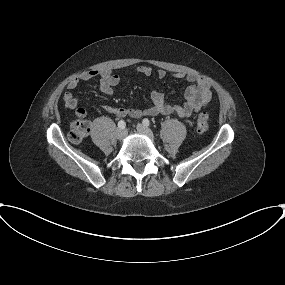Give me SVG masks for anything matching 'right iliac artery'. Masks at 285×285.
Wrapping results in <instances>:
<instances>
[{
    "instance_id": "right-iliac-artery-1",
    "label": "right iliac artery",
    "mask_w": 285,
    "mask_h": 285,
    "mask_svg": "<svg viewBox=\"0 0 285 285\" xmlns=\"http://www.w3.org/2000/svg\"><path fill=\"white\" fill-rule=\"evenodd\" d=\"M118 127H119L120 129H124V128L126 127L125 121L120 120V121L118 122Z\"/></svg>"
}]
</instances>
